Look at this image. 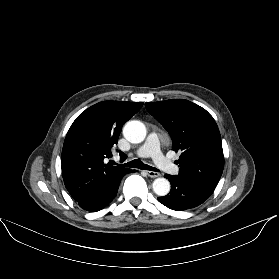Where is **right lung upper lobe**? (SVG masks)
I'll return each mask as SVG.
<instances>
[{
    "label": "right lung upper lobe",
    "mask_w": 279,
    "mask_h": 279,
    "mask_svg": "<svg viewBox=\"0 0 279 279\" xmlns=\"http://www.w3.org/2000/svg\"><path fill=\"white\" fill-rule=\"evenodd\" d=\"M143 103L103 101L81 113L72 123L62 149V175L75 201L83 202L103 193L131 169L105 164L117 144L122 126ZM120 155H124L119 152Z\"/></svg>",
    "instance_id": "cb5924a9"
}]
</instances>
